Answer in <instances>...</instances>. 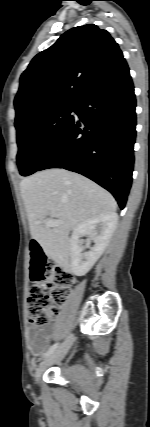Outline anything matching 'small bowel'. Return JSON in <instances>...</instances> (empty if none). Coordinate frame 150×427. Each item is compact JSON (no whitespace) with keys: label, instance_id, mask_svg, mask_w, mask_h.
<instances>
[{"label":"small bowel","instance_id":"c3829d8e","mask_svg":"<svg viewBox=\"0 0 150 427\" xmlns=\"http://www.w3.org/2000/svg\"><path fill=\"white\" fill-rule=\"evenodd\" d=\"M53 334V328L32 329L29 332V352L33 357L40 356L47 348Z\"/></svg>","mask_w":150,"mask_h":427}]
</instances>
